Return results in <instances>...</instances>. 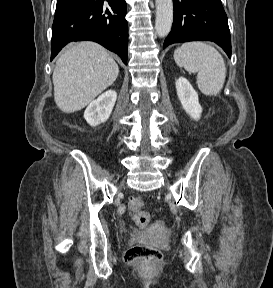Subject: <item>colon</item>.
Here are the masks:
<instances>
[{"label": "colon", "instance_id": "obj_1", "mask_svg": "<svg viewBox=\"0 0 273 288\" xmlns=\"http://www.w3.org/2000/svg\"><path fill=\"white\" fill-rule=\"evenodd\" d=\"M128 208L137 225L146 227L151 223V216L145 211L144 202L140 197L131 198ZM161 258L162 254L159 250L143 243L134 244L125 253L126 262L142 260L147 265H155Z\"/></svg>", "mask_w": 273, "mask_h": 288}]
</instances>
